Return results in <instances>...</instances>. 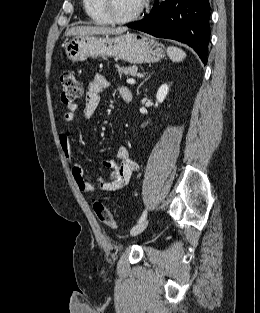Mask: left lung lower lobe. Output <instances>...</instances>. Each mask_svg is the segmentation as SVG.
I'll return each mask as SVG.
<instances>
[{"mask_svg":"<svg viewBox=\"0 0 260 313\" xmlns=\"http://www.w3.org/2000/svg\"><path fill=\"white\" fill-rule=\"evenodd\" d=\"M209 0L155 1L151 12L129 28L188 44L207 63Z\"/></svg>","mask_w":260,"mask_h":313,"instance_id":"left-lung-lower-lobe-1","label":"left lung lower lobe"}]
</instances>
